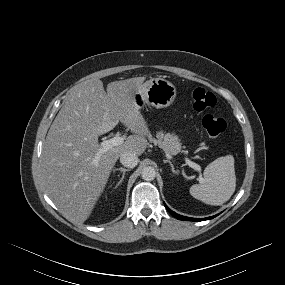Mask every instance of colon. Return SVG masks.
I'll return each instance as SVG.
<instances>
[{
  "instance_id": "obj_1",
  "label": "colon",
  "mask_w": 285,
  "mask_h": 285,
  "mask_svg": "<svg viewBox=\"0 0 285 285\" xmlns=\"http://www.w3.org/2000/svg\"><path fill=\"white\" fill-rule=\"evenodd\" d=\"M217 100L213 93L195 88L192 92V104L195 111L202 113V126L211 139H217L226 129V122L212 113Z\"/></svg>"
}]
</instances>
